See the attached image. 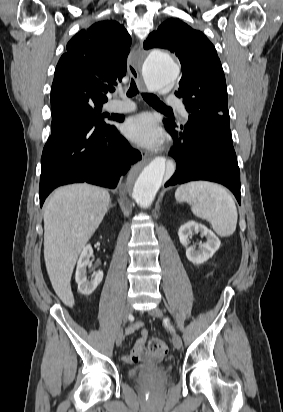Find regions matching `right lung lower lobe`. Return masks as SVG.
Masks as SVG:
<instances>
[{
    "label": "right lung lower lobe",
    "instance_id": "98d812e1",
    "mask_svg": "<svg viewBox=\"0 0 283 412\" xmlns=\"http://www.w3.org/2000/svg\"><path fill=\"white\" fill-rule=\"evenodd\" d=\"M110 120L121 121L118 116ZM140 159V152L109 122L86 119L74 128L53 129L41 158L40 206L60 185L88 182L115 188Z\"/></svg>",
    "mask_w": 283,
    "mask_h": 412
}]
</instances>
